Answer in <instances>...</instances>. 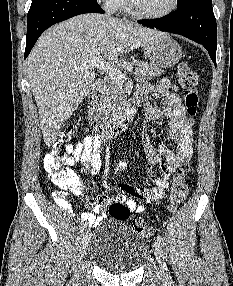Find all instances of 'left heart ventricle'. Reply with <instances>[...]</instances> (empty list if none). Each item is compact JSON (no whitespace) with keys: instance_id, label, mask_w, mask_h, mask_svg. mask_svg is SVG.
I'll list each match as a JSON object with an SVG mask.
<instances>
[{"instance_id":"obj_1","label":"left heart ventricle","mask_w":233,"mask_h":286,"mask_svg":"<svg viewBox=\"0 0 233 286\" xmlns=\"http://www.w3.org/2000/svg\"><path fill=\"white\" fill-rule=\"evenodd\" d=\"M141 10L150 14H160L167 11L172 0H135Z\"/></svg>"}]
</instances>
